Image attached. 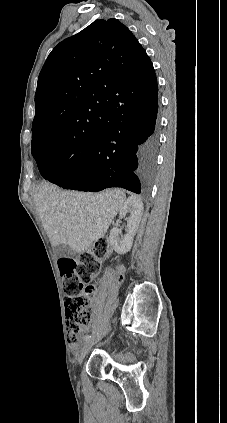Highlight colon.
I'll return each mask as SVG.
<instances>
[{
    "mask_svg": "<svg viewBox=\"0 0 227 423\" xmlns=\"http://www.w3.org/2000/svg\"><path fill=\"white\" fill-rule=\"evenodd\" d=\"M110 253L106 238L97 240L90 252L79 257L62 258L59 268L65 292L64 307L67 336L70 343L79 335L91 320L90 301L93 294L91 281L99 274L102 260ZM122 278V275H119Z\"/></svg>",
    "mask_w": 227,
    "mask_h": 423,
    "instance_id": "obj_1",
    "label": "colon"
}]
</instances>
